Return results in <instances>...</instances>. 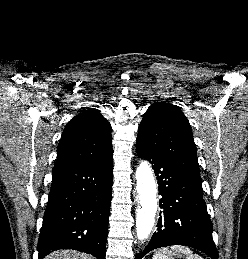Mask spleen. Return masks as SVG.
<instances>
[{"mask_svg":"<svg viewBox=\"0 0 248 259\" xmlns=\"http://www.w3.org/2000/svg\"><path fill=\"white\" fill-rule=\"evenodd\" d=\"M173 251L184 253L185 255H187V259H202V257L199 256L198 254H193V252L189 248L185 246H177V245L172 246L170 249L163 248L156 251L152 259H168V257L170 256V253Z\"/></svg>","mask_w":248,"mask_h":259,"instance_id":"spleen-1","label":"spleen"}]
</instances>
